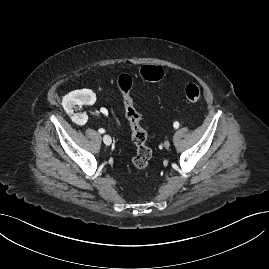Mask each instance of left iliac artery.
Segmentation results:
<instances>
[{"label":"left iliac artery","mask_w":269,"mask_h":269,"mask_svg":"<svg viewBox=\"0 0 269 269\" xmlns=\"http://www.w3.org/2000/svg\"><path fill=\"white\" fill-rule=\"evenodd\" d=\"M173 126H174V128L177 129L179 127V123L176 121V122H174Z\"/></svg>","instance_id":"left-iliac-artery-1"}]
</instances>
